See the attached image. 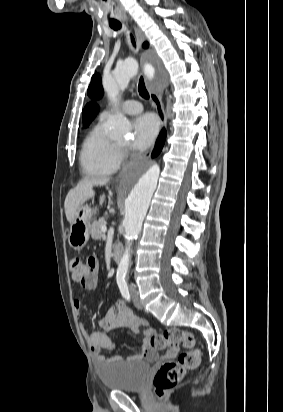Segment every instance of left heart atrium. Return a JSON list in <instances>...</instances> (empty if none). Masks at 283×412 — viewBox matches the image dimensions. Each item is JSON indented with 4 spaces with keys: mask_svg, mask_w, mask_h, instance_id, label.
<instances>
[{
    "mask_svg": "<svg viewBox=\"0 0 283 412\" xmlns=\"http://www.w3.org/2000/svg\"><path fill=\"white\" fill-rule=\"evenodd\" d=\"M159 132V121L153 114L147 113L134 121V139L132 147L135 150H145L153 144Z\"/></svg>",
    "mask_w": 283,
    "mask_h": 412,
    "instance_id": "left-heart-atrium-1",
    "label": "left heart atrium"
}]
</instances>
